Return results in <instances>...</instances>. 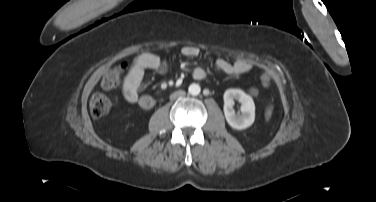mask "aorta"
Instances as JSON below:
<instances>
[{
    "mask_svg": "<svg viewBox=\"0 0 376 202\" xmlns=\"http://www.w3.org/2000/svg\"><path fill=\"white\" fill-rule=\"evenodd\" d=\"M200 90H201L200 86L195 83L191 84L188 88L189 94L194 95V96L198 95L200 93Z\"/></svg>",
    "mask_w": 376,
    "mask_h": 202,
    "instance_id": "762f6f07",
    "label": "aorta"
}]
</instances>
